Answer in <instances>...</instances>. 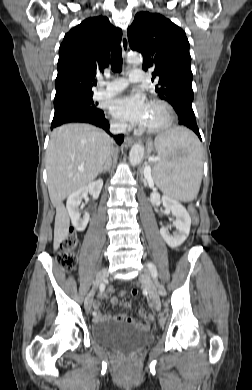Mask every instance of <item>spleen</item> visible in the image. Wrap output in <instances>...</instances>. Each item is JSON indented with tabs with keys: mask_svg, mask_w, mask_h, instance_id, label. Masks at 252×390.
<instances>
[{
	"mask_svg": "<svg viewBox=\"0 0 252 390\" xmlns=\"http://www.w3.org/2000/svg\"><path fill=\"white\" fill-rule=\"evenodd\" d=\"M155 148L160 156L153 168L156 186L176 200H194L203 174L202 150L197 137L185 128L176 127L157 137Z\"/></svg>",
	"mask_w": 252,
	"mask_h": 390,
	"instance_id": "obj_1",
	"label": "spleen"
}]
</instances>
